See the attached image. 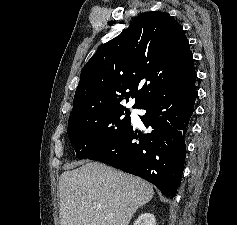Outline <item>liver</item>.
<instances>
[{
  "label": "liver",
  "instance_id": "6515ba94",
  "mask_svg": "<svg viewBox=\"0 0 237 225\" xmlns=\"http://www.w3.org/2000/svg\"><path fill=\"white\" fill-rule=\"evenodd\" d=\"M153 195L141 178L87 162L59 178L61 225H128Z\"/></svg>",
  "mask_w": 237,
  "mask_h": 225
}]
</instances>
